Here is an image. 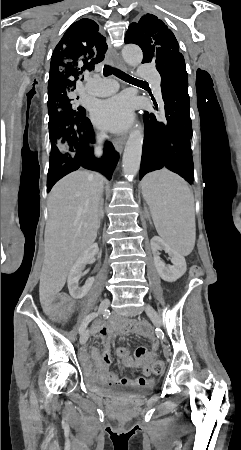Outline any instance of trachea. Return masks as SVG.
<instances>
[{"label":"trachea","instance_id":"3493384b","mask_svg":"<svg viewBox=\"0 0 241 450\" xmlns=\"http://www.w3.org/2000/svg\"><path fill=\"white\" fill-rule=\"evenodd\" d=\"M103 75L105 77H108L109 75H115L118 78H122V80L132 81V82H142L143 81V80H138L137 78L131 77L130 75H127V73L121 72V70H118L117 68H113L110 65H104Z\"/></svg>","mask_w":241,"mask_h":450}]
</instances>
